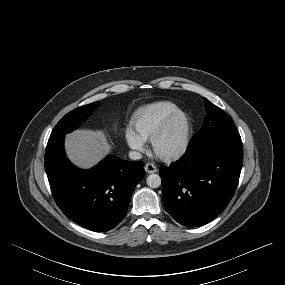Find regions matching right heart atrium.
Listing matches in <instances>:
<instances>
[{"label":"right heart atrium","mask_w":285,"mask_h":285,"mask_svg":"<svg viewBox=\"0 0 285 285\" xmlns=\"http://www.w3.org/2000/svg\"><path fill=\"white\" fill-rule=\"evenodd\" d=\"M126 140L131 149L142 151L144 148V139H142L135 131L128 129L126 132Z\"/></svg>","instance_id":"1"}]
</instances>
